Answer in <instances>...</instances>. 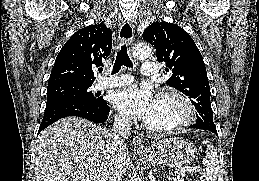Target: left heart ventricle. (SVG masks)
Instances as JSON below:
<instances>
[{
	"label": "left heart ventricle",
	"instance_id": "1",
	"mask_svg": "<svg viewBox=\"0 0 259 181\" xmlns=\"http://www.w3.org/2000/svg\"><path fill=\"white\" fill-rule=\"evenodd\" d=\"M182 116L181 107L170 98L157 99L156 109L147 122L153 126H169L177 123Z\"/></svg>",
	"mask_w": 259,
	"mask_h": 181
}]
</instances>
